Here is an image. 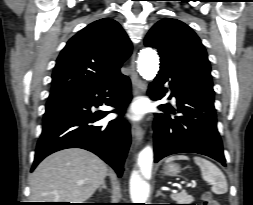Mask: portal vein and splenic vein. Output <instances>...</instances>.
<instances>
[{"instance_id": "1", "label": "portal vein and splenic vein", "mask_w": 253, "mask_h": 205, "mask_svg": "<svg viewBox=\"0 0 253 205\" xmlns=\"http://www.w3.org/2000/svg\"><path fill=\"white\" fill-rule=\"evenodd\" d=\"M195 185H196V184H195L194 182H192V183H187V184H186L187 187H195Z\"/></svg>"}]
</instances>
